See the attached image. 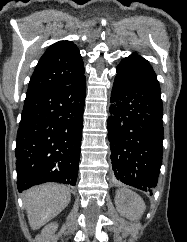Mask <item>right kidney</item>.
<instances>
[{"mask_svg":"<svg viewBox=\"0 0 187 242\" xmlns=\"http://www.w3.org/2000/svg\"><path fill=\"white\" fill-rule=\"evenodd\" d=\"M57 227L58 225L56 223H51L44 227V229L42 230L41 242H49L48 239L50 235H52L56 231Z\"/></svg>","mask_w":187,"mask_h":242,"instance_id":"obj_1","label":"right kidney"}]
</instances>
